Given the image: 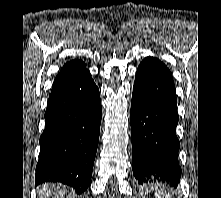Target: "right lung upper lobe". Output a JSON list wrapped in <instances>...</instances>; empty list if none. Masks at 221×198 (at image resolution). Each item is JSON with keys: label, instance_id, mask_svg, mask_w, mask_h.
Here are the masks:
<instances>
[{"label": "right lung upper lobe", "instance_id": "1", "mask_svg": "<svg viewBox=\"0 0 221 198\" xmlns=\"http://www.w3.org/2000/svg\"><path fill=\"white\" fill-rule=\"evenodd\" d=\"M86 71V66L81 60L67 62L55 78L52 90L71 82Z\"/></svg>", "mask_w": 221, "mask_h": 198}]
</instances>
